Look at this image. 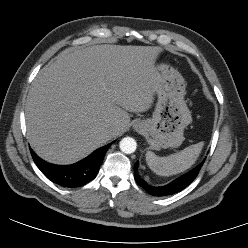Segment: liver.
<instances>
[{"mask_svg": "<svg viewBox=\"0 0 248 248\" xmlns=\"http://www.w3.org/2000/svg\"><path fill=\"white\" fill-rule=\"evenodd\" d=\"M156 46L68 48L36 76L25 115L27 138L44 160L71 164L123 134L128 112H145L157 81ZM113 128L112 135L106 130Z\"/></svg>", "mask_w": 248, "mask_h": 248, "instance_id": "liver-1", "label": "liver"}]
</instances>
